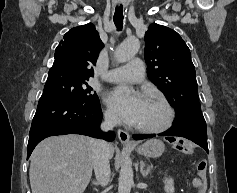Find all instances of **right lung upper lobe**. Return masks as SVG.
<instances>
[{
	"label": "right lung upper lobe",
	"mask_w": 237,
	"mask_h": 193,
	"mask_svg": "<svg viewBox=\"0 0 237 193\" xmlns=\"http://www.w3.org/2000/svg\"><path fill=\"white\" fill-rule=\"evenodd\" d=\"M103 43L92 23L74 27L69 30L55 49V60L49 73H63L66 75L89 78L93 76L92 65Z\"/></svg>",
	"instance_id": "cb5924a9"
}]
</instances>
